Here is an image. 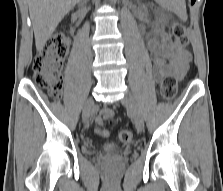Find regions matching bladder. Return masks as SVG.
<instances>
[{"label":"bladder","instance_id":"31cf9c89","mask_svg":"<svg viewBox=\"0 0 223 191\" xmlns=\"http://www.w3.org/2000/svg\"><path fill=\"white\" fill-rule=\"evenodd\" d=\"M116 145L114 143H107L105 146H104V150L106 152H112L116 149Z\"/></svg>","mask_w":223,"mask_h":191}]
</instances>
